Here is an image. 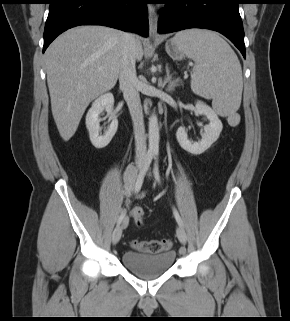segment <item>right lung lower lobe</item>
<instances>
[{
  "label": "right lung lower lobe",
  "mask_w": 290,
  "mask_h": 321,
  "mask_svg": "<svg viewBox=\"0 0 290 321\" xmlns=\"http://www.w3.org/2000/svg\"><path fill=\"white\" fill-rule=\"evenodd\" d=\"M43 52L65 30L79 25H104L149 34L146 0H51Z\"/></svg>",
  "instance_id": "98d812e1"
}]
</instances>
